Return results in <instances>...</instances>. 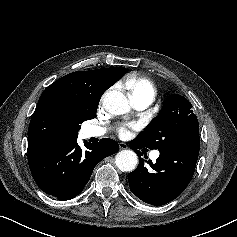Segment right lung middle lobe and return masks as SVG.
<instances>
[{"mask_svg":"<svg viewBox=\"0 0 237 237\" xmlns=\"http://www.w3.org/2000/svg\"><path fill=\"white\" fill-rule=\"evenodd\" d=\"M98 75L100 76L103 84L108 85L111 82V77L108 74V72L104 70H97ZM98 105H91V106H83L80 107L77 112H76V122L78 124V130L81 128L80 124L89 119L93 118L96 116V111H97Z\"/></svg>","mask_w":237,"mask_h":237,"instance_id":"dd1d6c3e","label":"right lung middle lobe"}]
</instances>
